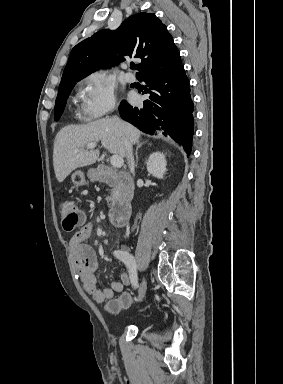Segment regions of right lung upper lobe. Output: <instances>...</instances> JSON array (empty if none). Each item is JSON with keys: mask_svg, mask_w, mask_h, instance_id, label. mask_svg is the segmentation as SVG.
<instances>
[{"mask_svg": "<svg viewBox=\"0 0 283 384\" xmlns=\"http://www.w3.org/2000/svg\"><path fill=\"white\" fill-rule=\"evenodd\" d=\"M129 57L141 60L136 75L139 80L182 64L166 26L155 14L142 12L130 16L116 31L100 30L77 44L60 85L76 83L101 67L112 66L115 59L119 63Z\"/></svg>", "mask_w": 283, "mask_h": 384, "instance_id": "obj_1", "label": "right lung upper lobe"}]
</instances>
